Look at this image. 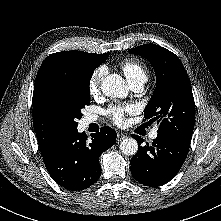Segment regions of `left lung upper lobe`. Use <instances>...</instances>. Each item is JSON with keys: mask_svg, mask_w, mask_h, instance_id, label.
Wrapping results in <instances>:
<instances>
[{"mask_svg": "<svg viewBox=\"0 0 221 221\" xmlns=\"http://www.w3.org/2000/svg\"><path fill=\"white\" fill-rule=\"evenodd\" d=\"M152 64L157 78L154 94L144 110L146 119L159 124L158 134L191 141L195 104L188 75L180 59L169 50L145 44L130 49Z\"/></svg>", "mask_w": 221, "mask_h": 221, "instance_id": "left-lung-upper-lobe-1", "label": "left lung upper lobe"}]
</instances>
